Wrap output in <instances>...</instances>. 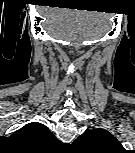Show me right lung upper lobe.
<instances>
[{
  "instance_id": "right-lung-upper-lobe-1",
  "label": "right lung upper lobe",
  "mask_w": 135,
  "mask_h": 153,
  "mask_svg": "<svg viewBox=\"0 0 135 153\" xmlns=\"http://www.w3.org/2000/svg\"><path fill=\"white\" fill-rule=\"evenodd\" d=\"M12 136L35 147H44L58 141L45 125L38 122L27 124Z\"/></svg>"
}]
</instances>
